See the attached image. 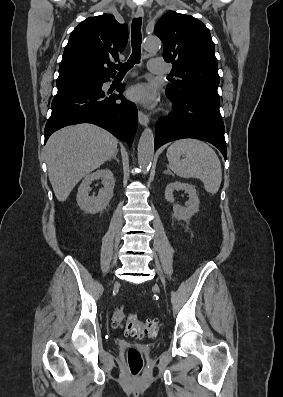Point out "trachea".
I'll list each match as a JSON object with an SVG mask.
<instances>
[{"label":"trachea","mask_w":283,"mask_h":397,"mask_svg":"<svg viewBox=\"0 0 283 397\" xmlns=\"http://www.w3.org/2000/svg\"><path fill=\"white\" fill-rule=\"evenodd\" d=\"M141 23H142L141 17L134 18L132 21V27H131L132 54L127 62L114 65V68L119 70L118 75H125L126 72L134 66V64L140 62L141 43H142Z\"/></svg>","instance_id":"1"}]
</instances>
